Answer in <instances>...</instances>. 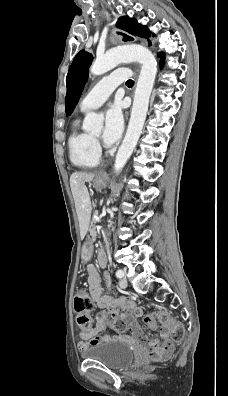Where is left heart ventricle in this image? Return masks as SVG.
Masks as SVG:
<instances>
[{"label":"left heart ventricle","instance_id":"b2bd125f","mask_svg":"<svg viewBox=\"0 0 228 396\" xmlns=\"http://www.w3.org/2000/svg\"><path fill=\"white\" fill-rule=\"evenodd\" d=\"M101 135H102V130H99V131H97V132L95 133V136H96V137H101Z\"/></svg>","mask_w":228,"mask_h":396}]
</instances>
